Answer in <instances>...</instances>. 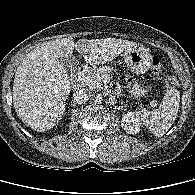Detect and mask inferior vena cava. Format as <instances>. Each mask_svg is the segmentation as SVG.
I'll return each mask as SVG.
<instances>
[{
	"label": "inferior vena cava",
	"instance_id": "1",
	"mask_svg": "<svg viewBox=\"0 0 195 195\" xmlns=\"http://www.w3.org/2000/svg\"><path fill=\"white\" fill-rule=\"evenodd\" d=\"M91 92L86 88H78L73 93V99L78 104H83L89 100Z\"/></svg>",
	"mask_w": 195,
	"mask_h": 195
}]
</instances>
